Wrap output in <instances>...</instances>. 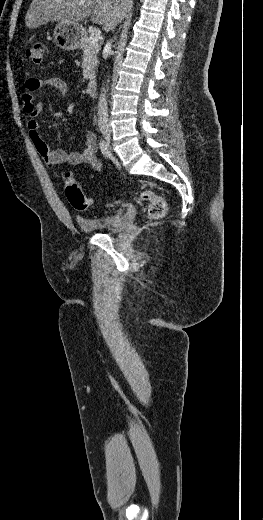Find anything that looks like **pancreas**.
Segmentation results:
<instances>
[{
    "label": "pancreas",
    "instance_id": "cf45deb5",
    "mask_svg": "<svg viewBox=\"0 0 263 520\" xmlns=\"http://www.w3.org/2000/svg\"><path fill=\"white\" fill-rule=\"evenodd\" d=\"M79 47L83 50V77L86 80H92L95 78V68L98 65L99 46L90 43L89 36L85 35L82 37Z\"/></svg>",
    "mask_w": 263,
    "mask_h": 520
}]
</instances>
